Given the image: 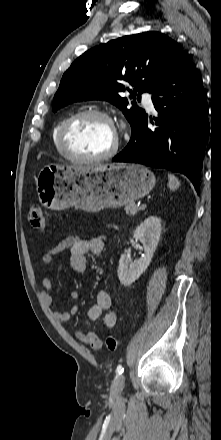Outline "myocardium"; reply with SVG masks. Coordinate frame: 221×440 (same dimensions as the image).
<instances>
[{"mask_svg": "<svg viewBox=\"0 0 221 440\" xmlns=\"http://www.w3.org/2000/svg\"><path fill=\"white\" fill-rule=\"evenodd\" d=\"M100 117L105 119L110 125L112 126L114 132H115V141L113 146L104 154L98 155V156H82L74 153L68 146L67 138L68 133L71 127L80 119L85 117ZM58 142H59V148L63 155L68 158L71 161L74 162H101L108 160L112 158L118 151L119 144H120V137L117 132V129L115 127L114 121L112 117L105 111L100 109H85L81 110L79 112L74 113L73 115L69 116L61 125L58 133Z\"/></svg>", "mask_w": 221, "mask_h": 440, "instance_id": "myocardium-1", "label": "myocardium"}]
</instances>
